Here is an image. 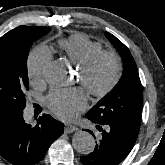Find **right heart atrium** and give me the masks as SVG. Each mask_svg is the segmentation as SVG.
<instances>
[{
  "instance_id": "right-heart-atrium-1",
  "label": "right heart atrium",
  "mask_w": 165,
  "mask_h": 165,
  "mask_svg": "<svg viewBox=\"0 0 165 165\" xmlns=\"http://www.w3.org/2000/svg\"><path fill=\"white\" fill-rule=\"evenodd\" d=\"M51 58V52L45 46H38L30 53L28 74L33 82H39L44 79Z\"/></svg>"
}]
</instances>
